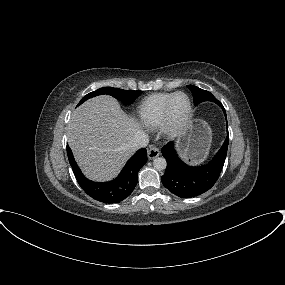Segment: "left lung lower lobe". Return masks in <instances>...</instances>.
I'll return each instance as SVG.
<instances>
[{
    "label": "left lung lower lobe",
    "mask_w": 285,
    "mask_h": 285,
    "mask_svg": "<svg viewBox=\"0 0 285 285\" xmlns=\"http://www.w3.org/2000/svg\"><path fill=\"white\" fill-rule=\"evenodd\" d=\"M218 105L226 112L223 105ZM227 119V118H226ZM229 143L227 135L222 147L210 163L201 167L188 166L178 157L172 142L165 145L161 152L167 161L165 174L161 177L163 185L181 198L198 196L209 190L219 178L223 168Z\"/></svg>",
    "instance_id": "left-lung-lower-lobe-1"
}]
</instances>
